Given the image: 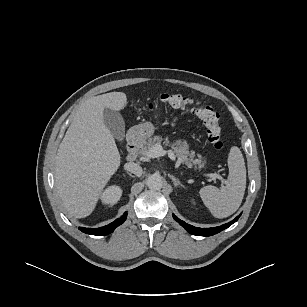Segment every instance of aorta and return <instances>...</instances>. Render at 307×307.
I'll return each instance as SVG.
<instances>
[{
  "label": "aorta",
  "mask_w": 307,
  "mask_h": 307,
  "mask_svg": "<svg viewBox=\"0 0 307 307\" xmlns=\"http://www.w3.org/2000/svg\"><path fill=\"white\" fill-rule=\"evenodd\" d=\"M147 186L151 190H160L163 186V181L160 175L153 174L147 179Z\"/></svg>",
  "instance_id": "1"
}]
</instances>
